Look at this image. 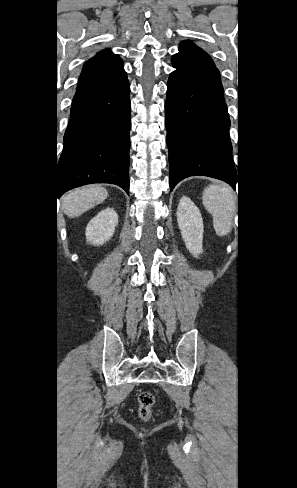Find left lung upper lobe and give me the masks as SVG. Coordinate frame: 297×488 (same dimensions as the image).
<instances>
[{"mask_svg": "<svg viewBox=\"0 0 297 488\" xmlns=\"http://www.w3.org/2000/svg\"><path fill=\"white\" fill-rule=\"evenodd\" d=\"M172 64L176 68L174 72L224 99L218 69L211 57L201 48L195 46L192 41L181 42L179 52L172 57Z\"/></svg>", "mask_w": 297, "mask_h": 488, "instance_id": "5c2ea615", "label": "left lung upper lobe"}]
</instances>
